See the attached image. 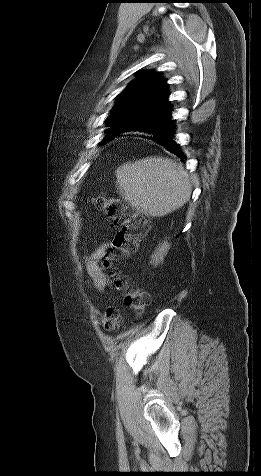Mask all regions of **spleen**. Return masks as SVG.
<instances>
[{
    "instance_id": "obj_1",
    "label": "spleen",
    "mask_w": 261,
    "mask_h": 476,
    "mask_svg": "<svg viewBox=\"0 0 261 476\" xmlns=\"http://www.w3.org/2000/svg\"><path fill=\"white\" fill-rule=\"evenodd\" d=\"M115 173L122 198L151 217H162L181 208L192 193L188 172L168 158L154 156L127 162Z\"/></svg>"
}]
</instances>
